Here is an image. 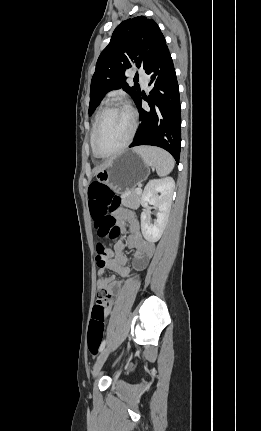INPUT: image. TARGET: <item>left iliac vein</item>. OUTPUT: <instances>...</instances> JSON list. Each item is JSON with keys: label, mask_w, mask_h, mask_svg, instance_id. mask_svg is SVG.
Masks as SVG:
<instances>
[{"label": "left iliac vein", "mask_w": 261, "mask_h": 431, "mask_svg": "<svg viewBox=\"0 0 261 431\" xmlns=\"http://www.w3.org/2000/svg\"><path fill=\"white\" fill-rule=\"evenodd\" d=\"M110 347H106L105 349H103V351L101 352V354L99 355V357L97 358V361L93 367V376L96 377L99 373V371L101 370L103 364L105 363V361L107 360L109 354H110Z\"/></svg>", "instance_id": "4c4485c4"}]
</instances>
